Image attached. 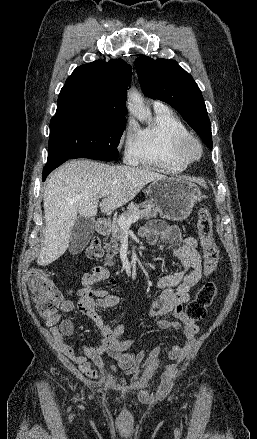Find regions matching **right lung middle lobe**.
Masks as SVG:
<instances>
[{
    "mask_svg": "<svg viewBox=\"0 0 257 439\" xmlns=\"http://www.w3.org/2000/svg\"><path fill=\"white\" fill-rule=\"evenodd\" d=\"M124 115L80 111L50 121L48 163L73 158L114 160L125 129Z\"/></svg>",
    "mask_w": 257,
    "mask_h": 439,
    "instance_id": "right-lung-middle-lobe-1",
    "label": "right lung middle lobe"
}]
</instances>
